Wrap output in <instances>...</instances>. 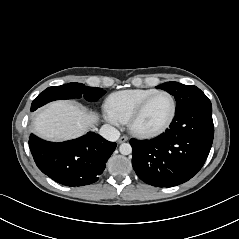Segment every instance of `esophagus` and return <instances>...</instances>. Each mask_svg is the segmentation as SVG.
I'll return each instance as SVG.
<instances>
[{
	"label": "esophagus",
	"instance_id": "34e87169",
	"mask_svg": "<svg viewBox=\"0 0 239 239\" xmlns=\"http://www.w3.org/2000/svg\"><path fill=\"white\" fill-rule=\"evenodd\" d=\"M127 140H128V137L126 135H123L119 138L118 142L123 143V142H126Z\"/></svg>",
	"mask_w": 239,
	"mask_h": 239
}]
</instances>
